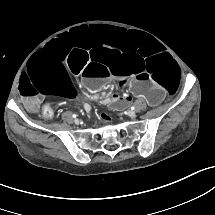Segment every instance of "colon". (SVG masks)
<instances>
[{"instance_id": "1", "label": "colon", "mask_w": 215, "mask_h": 215, "mask_svg": "<svg viewBox=\"0 0 215 215\" xmlns=\"http://www.w3.org/2000/svg\"><path fill=\"white\" fill-rule=\"evenodd\" d=\"M42 115L47 120H50L53 117V110H52L50 104H45L44 105Z\"/></svg>"}]
</instances>
